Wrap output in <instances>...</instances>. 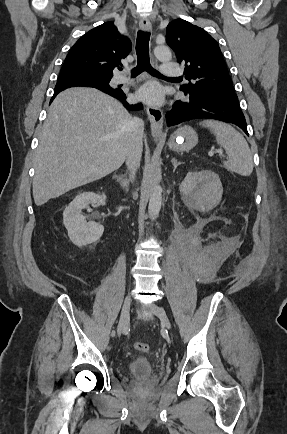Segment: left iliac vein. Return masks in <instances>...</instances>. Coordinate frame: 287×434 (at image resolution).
Returning a JSON list of instances; mask_svg holds the SVG:
<instances>
[{"instance_id":"obj_1","label":"left iliac vein","mask_w":287,"mask_h":434,"mask_svg":"<svg viewBox=\"0 0 287 434\" xmlns=\"http://www.w3.org/2000/svg\"><path fill=\"white\" fill-rule=\"evenodd\" d=\"M150 308L153 311V313L160 319L163 326L165 328L170 329L171 323H170L169 317H168L165 309L163 307H160V306L155 305V304L151 305Z\"/></svg>"}]
</instances>
